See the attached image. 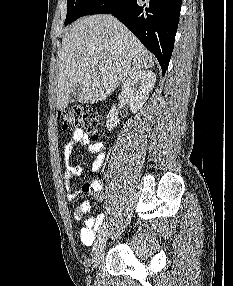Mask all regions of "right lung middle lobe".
Here are the masks:
<instances>
[{
    "instance_id": "dd1d6c3e",
    "label": "right lung middle lobe",
    "mask_w": 233,
    "mask_h": 286,
    "mask_svg": "<svg viewBox=\"0 0 233 286\" xmlns=\"http://www.w3.org/2000/svg\"><path fill=\"white\" fill-rule=\"evenodd\" d=\"M96 0H67V16L65 25L74 22L90 8Z\"/></svg>"
}]
</instances>
